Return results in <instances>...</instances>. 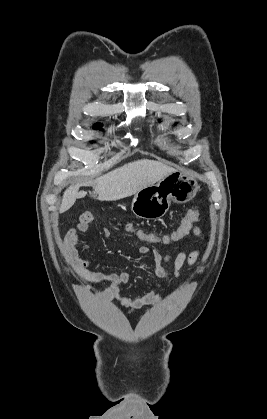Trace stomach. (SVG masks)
Instances as JSON below:
<instances>
[{"mask_svg":"<svg viewBox=\"0 0 267 419\" xmlns=\"http://www.w3.org/2000/svg\"><path fill=\"white\" fill-rule=\"evenodd\" d=\"M198 183L183 172L174 170L157 184L143 187L133 197L132 212L143 219H159L170 208L171 202L186 203L198 192Z\"/></svg>","mask_w":267,"mask_h":419,"instance_id":"stomach-1","label":"stomach"}]
</instances>
